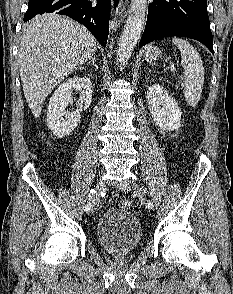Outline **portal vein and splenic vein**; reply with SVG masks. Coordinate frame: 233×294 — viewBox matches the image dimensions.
<instances>
[{
    "label": "portal vein and splenic vein",
    "instance_id": "portal-vein-and-splenic-vein-1",
    "mask_svg": "<svg viewBox=\"0 0 233 294\" xmlns=\"http://www.w3.org/2000/svg\"><path fill=\"white\" fill-rule=\"evenodd\" d=\"M170 71H171L172 73H174V72H176V68H175L174 66H171V67H170Z\"/></svg>",
    "mask_w": 233,
    "mask_h": 294
}]
</instances>
